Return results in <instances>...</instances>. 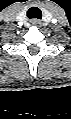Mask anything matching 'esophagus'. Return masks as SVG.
Here are the masks:
<instances>
[{"mask_svg": "<svg viewBox=\"0 0 71 119\" xmlns=\"http://www.w3.org/2000/svg\"><path fill=\"white\" fill-rule=\"evenodd\" d=\"M32 24L35 25V26H39L41 23H40L39 20H33Z\"/></svg>", "mask_w": 71, "mask_h": 119, "instance_id": "obj_1", "label": "esophagus"}]
</instances>
